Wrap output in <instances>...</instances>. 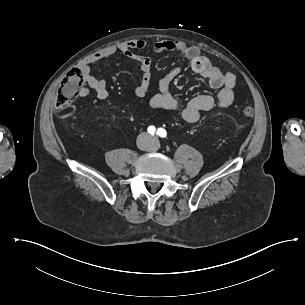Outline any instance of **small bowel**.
Wrapping results in <instances>:
<instances>
[{
  "mask_svg": "<svg viewBox=\"0 0 305 305\" xmlns=\"http://www.w3.org/2000/svg\"><path fill=\"white\" fill-rule=\"evenodd\" d=\"M147 47L144 39H132L118 45L98 50L87 56L79 65L84 85L80 87L78 95L82 98L87 97L90 90H94L97 98L106 100L109 97L108 87L105 80L97 79L93 76L91 65L115 55L126 56L138 63L141 71V79L135 88V95L144 97L149 91L152 77L151 60L148 56L137 53ZM153 53L165 51L178 52L189 62L192 70L206 79L212 88L219 89L216 97L210 95H199L187 102L183 107L171 92L172 83L180 76L181 67H174L164 74L158 81L157 92L149 100L151 109H165L169 111H180L181 118L187 123H196L202 113L217 108L224 109L229 107L235 96L236 77L230 72H223L214 66L196 46H189L181 41L162 40L152 44ZM67 117L74 118V112H69Z\"/></svg>",
  "mask_w": 305,
  "mask_h": 305,
  "instance_id": "1",
  "label": "small bowel"
}]
</instances>
